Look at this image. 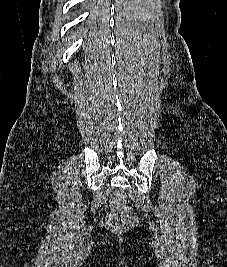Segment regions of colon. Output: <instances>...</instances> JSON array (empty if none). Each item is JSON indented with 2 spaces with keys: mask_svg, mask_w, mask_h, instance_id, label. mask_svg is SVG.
I'll use <instances>...</instances> for the list:
<instances>
[{
  "mask_svg": "<svg viewBox=\"0 0 227 267\" xmlns=\"http://www.w3.org/2000/svg\"><path fill=\"white\" fill-rule=\"evenodd\" d=\"M138 222L135 211L127 205L121 192H115L111 200V210L107 217V225L113 232H125Z\"/></svg>",
  "mask_w": 227,
  "mask_h": 267,
  "instance_id": "5ec220e1",
  "label": "colon"
}]
</instances>
